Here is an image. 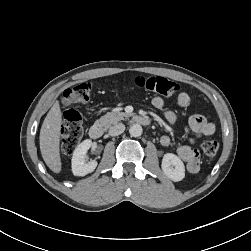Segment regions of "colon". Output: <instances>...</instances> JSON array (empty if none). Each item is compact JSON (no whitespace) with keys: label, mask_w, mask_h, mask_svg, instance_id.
Instances as JSON below:
<instances>
[{"label":"colon","mask_w":251,"mask_h":251,"mask_svg":"<svg viewBox=\"0 0 251 251\" xmlns=\"http://www.w3.org/2000/svg\"><path fill=\"white\" fill-rule=\"evenodd\" d=\"M134 83L138 88L163 96H172L180 89L177 82L161 76L136 77ZM91 94L92 85L88 82L72 86L63 93L62 103L65 110L61 130V151L65 156L74 152L84 134L82 117L72 106L87 103ZM218 150L219 143L215 139L206 140L202 145V152L208 160L213 159Z\"/></svg>","instance_id":"5ec220e1"}]
</instances>
